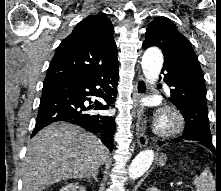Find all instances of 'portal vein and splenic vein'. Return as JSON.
<instances>
[{
    "label": "portal vein and splenic vein",
    "instance_id": "1",
    "mask_svg": "<svg viewBox=\"0 0 221 191\" xmlns=\"http://www.w3.org/2000/svg\"><path fill=\"white\" fill-rule=\"evenodd\" d=\"M175 185H176L177 187H183V183H182L181 181L176 182Z\"/></svg>",
    "mask_w": 221,
    "mask_h": 191
}]
</instances>
